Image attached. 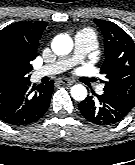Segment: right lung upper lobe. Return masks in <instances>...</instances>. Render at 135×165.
Here are the masks:
<instances>
[{"label":"right lung upper lobe","mask_w":135,"mask_h":165,"mask_svg":"<svg viewBox=\"0 0 135 165\" xmlns=\"http://www.w3.org/2000/svg\"><path fill=\"white\" fill-rule=\"evenodd\" d=\"M47 22H18L0 30V80L19 77L29 80L30 62L37 56V46Z\"/></svg>","instance_id":"cb5924a9"}]
</instances>
